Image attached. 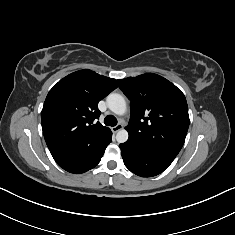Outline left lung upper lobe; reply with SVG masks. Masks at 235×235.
<instances>
[{
	"label": "left lung upper lobe",
	"instance_id": "5c2ea615",
	"mask_svg": "<svg viewBox=\"0 0 235 235\" xmlns=\"http://www.w3.org/2000/svg\"><path fill=\"white\" fill-rule=\"evenodd\" d=\"M118 84L131 101L128 140L174 159L189 127L184 94L154 73L119 79Z\"/></svg>",
	"mask_w": 235,
	"mask_h": 235
}]
</instances>
